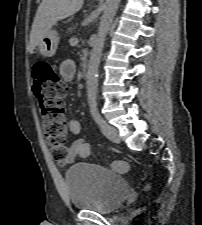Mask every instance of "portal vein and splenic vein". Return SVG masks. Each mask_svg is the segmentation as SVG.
<instances>
[{
	"instance_id": "portal-vein-and-splenic-vein-1",
	"label": "portal vein and splenic vein",
	"mask_w": 202,
	"mask_h": 225,
	"mask_svg": "<svg viewBox=\"0 0 202 225\" xmlns=\"http://www.w3.org/2000/svg\"><path fill=\"white\" fill-rule=\"evenodd\" d=\"M69 42H70L71 45H77L78 39L77 38H71Z\"/></svg>"
}]
</instances>
